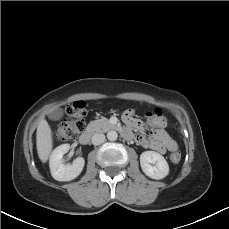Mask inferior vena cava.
Listing matches in <instances>:
<instances>
[{
    "mask_svg": "<svg viewBox=\"0 0 229 229\" xmlns=\"http://www.w3.org/2000/svg\"><path fill=\"white\" fill-rule=\"evenodd\" d=\"M91 141L93 145H100L105 141V135L102 133H96L92 136Z\"/></svg>",
    "mask_w": 229,
    "mask_h": 229,
    "instance_id": "602c4592",
    "label": "inferior vena cava"
}]
</instances>
